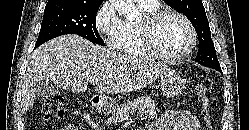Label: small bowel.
Instances as JSON below:
<instances>
[{"label": "small bowel", "instance_id": "obj_1", "mask_svg": "<svg viewBox=\"0 0 249 130\" xmlns=\"http://www.w3.org/2000/svg\"><path fill=\"white\" fill-rule=\"evenodd\" d=\"M59 130H86L76 124H68ZM142 130H202L197 118L189 111L175 110L161 114Z\"/></svg>", "mask_w": 249, "mask_h": 130}]
</instances>
